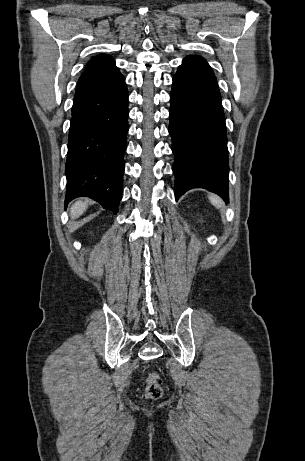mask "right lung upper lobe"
Returning <instances> with one entry per match:
<instances>
[{
	"instance_id": "1",
	"label": "right lung upper lobe",
	"mask_w": 305,
	"mask_h": 461,
	"mask_svg": "<svg viewBox=\"0 0 305 461\" xmlns=\"http://www.w3.org/2000/svg\"><path fill=\"white\" fill-rule=\"evenodd\" d=\"M119 72L114 59L106 54H100L92 58L86 65V69L78 83L104 80Z\"/></svg>"
}]
</instances>
